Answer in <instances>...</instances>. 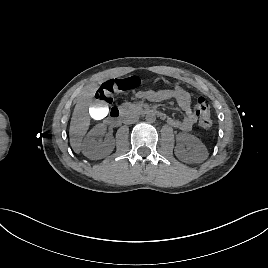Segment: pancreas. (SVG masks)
<instances>
[{
    "label": "pancreas",
    "mask_w": 268,
    "mask_h": 268,
    "mask_svg": "<svg viewBox=\"0 0 268 268\" xmlns=\"http://www.w3.org/2000/svg\"><path fill=\"white\" fill-rule=\"evenodd\" d=\"M134 106H136V105H135V104H132V103H130V102H125V103L122 104V108H123V109H131V108H133Z\"/></svg>",
    "instance_id": "pancreas-1"
}]
</instances>
